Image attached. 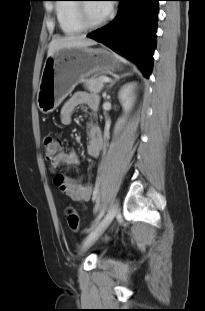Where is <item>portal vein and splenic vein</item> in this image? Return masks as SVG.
Returning a JSON list of instances; mask_svg holds the SVG:
<instances>
[{
	"mask_svg": "<svg viewBox=\"0 0 205 311\" xmlns=\"http://www.w3.org/2000/svg\"><path fill=\"white\" fill-rule=\"evenodd\" d=\"M102 81H103V82H110L111 79H110L109 77H103V78H102Z\"/></svg>",
	"mask_w": 205,
	"mask_h": 311,
	"instance_id": "18ae733b",
	"label": "portal vein and splenic vein"
}]
</instances>
